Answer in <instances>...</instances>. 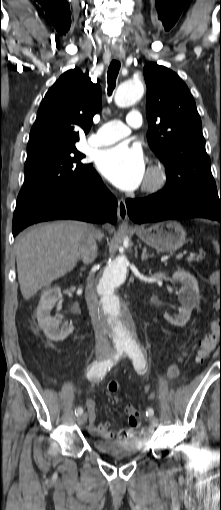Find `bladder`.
Instances as JSON below:
<instances>
[{
	"label": "bladder",
	"instance_id": "bladder-1",
	"mask_svg": "<svg viewBox=\"0 0 221 510\" xmlns=\"http://www.w3.org/2000/svg\"><path fill=\"white\" fill-rule=\"evenodd\" d=\"M93 446L99 453L114 458L131 457L145 449L144 443L137 437L130 440L94 439Z\"/></svg>",
	"mask_w": 221,
	"mask_h": 510
}]
</instances>
